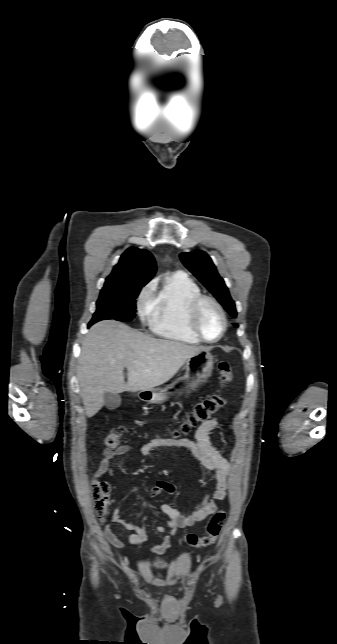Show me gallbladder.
Here are the masks:
<instances>
[{"instance_id":"gallbladder-1","label":"gallbladder","mask_w":337,"mask_h":644,"mask_svg":"<svg viewBox=\"0 0 337 644\" xmlns=\"http://www.w3.org/2000/svg\"><path fill=\"white\" fill-rule=\"evenodd\" d=\"M103 397H104V405L108 410H115L121 404V398L118 394L105 392Z\"/></svg>"}]
</instances>
